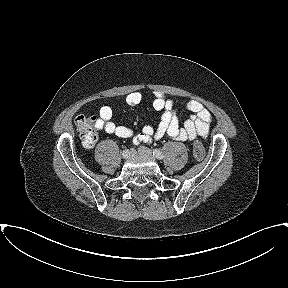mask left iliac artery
<instances>
[{
  "mask_svg": "<svg viewBox=\"0 0 288 288\" xmlns=\"http://www.w3.org/2000/svg\"><path fill=\"white\" fill-rule=\"evenodd\" d=\"M153 155L157 158V159H163V154L160 150L158 149H154L153 150Z\"/></svg>",
  "mask_w": 288,
  "mask_h": 288,
  "instance_id": "1",
  "label": "left iliac artery"
}]
</instances>
